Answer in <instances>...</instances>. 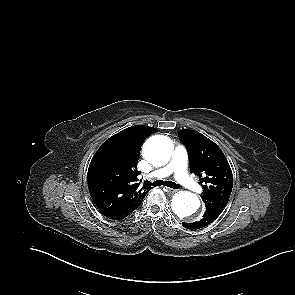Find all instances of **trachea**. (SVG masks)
<instances>
[{"label":"trachea","mask_w":295,"mask_h":295,"mask_svg":"<svg viewBox=\"0 0 295 295\" xmlns=\"http://www.w3.org/2000/svg\"><path fill=\"white\" fill-rule=\"evenodd\" d=\"M147 185H149V183ZM161 185H164V186H167V187H170V188H174V189H179L180 188V185H178V184H176L175 182H172V181L156 180L155 182L152 183V186H154V187L161 186Z\"/></svg>","instance_id":"obj_1"}]
</instances>
